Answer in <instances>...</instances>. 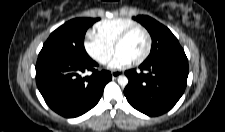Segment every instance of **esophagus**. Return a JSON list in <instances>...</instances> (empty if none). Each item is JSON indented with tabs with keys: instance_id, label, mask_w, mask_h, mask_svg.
I'll return each mask as SVG.
<instances>
[{
	"instance_id": "esophagus-1",
	"label": "esophagus",
	"mask_w": 225,
	"mask_h": 132,
	"mask_svg": "<svg viewBox=\"0 0 225 132\" xmlns=\"http://www.w3.org/2000/svg\"><path fill=\"white\" fill-rule=\"evenodd\" d=\"M121 75V72L120 71H113L112 72V78L113 79H116L118 76H120Z\"/></svg>"
}]
</instances>
